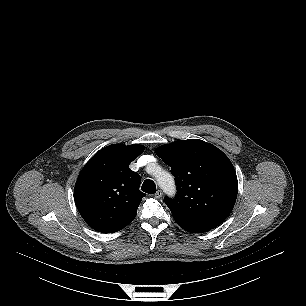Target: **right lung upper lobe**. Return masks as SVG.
Instances as JSON below:
<instances>
[{"label": "right lung upper lobe", "instance_id": "1", "mask_svg": "<svg viewBox=\"0 0 306 306\" xmlns=\"http://www.w3.org/2000/svg\"><path fill=\"white\" fill-rule=\"evenodd\" d=\"M145 147L113 144L98 151L86 164L74 188L77 209L94 230L112 233L136 217L142 197L140 175L129 164Z\"/></svg>", "mask_w": 306, "mask_h": 306}]
</instances>
